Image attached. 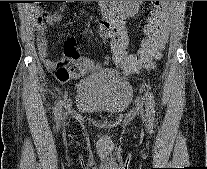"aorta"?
Here are the masks:
<instances>
[{
  "label": "aorta",
  "mask_w": 207,
  "mask_h": 169,
  "mask_svg": "<svg viewBox=\"0 0 207 169\" xmlns=\"http://www.w3.org/2000/svg\"><path fill=\"white\" fill-rule=\"evenodd\" d=\"M136 1H111L110 3V9L115 12L119 11H125L126 9H123L124 7H131V4H134Z\"/></svg>",
  "instance_id": "1"
}]
</instances>
